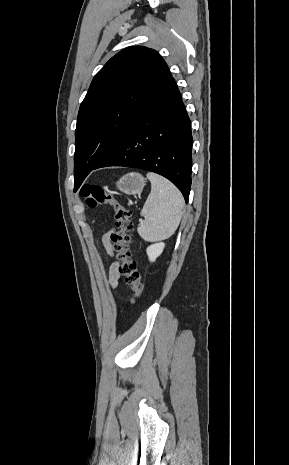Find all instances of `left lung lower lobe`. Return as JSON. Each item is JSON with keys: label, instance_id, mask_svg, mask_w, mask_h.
Wrapping results in <instances>:
<instances>
[{"label": "left lung lower lobe", "instance_id": "1", "mask_svg": "<svg viewBox=\"0 0 289 465\" xmlns=\"http://www.w3.org/2000/svg\"><path fill=\"white\" fill-rule=\"evenodd\" d=\"M191 150L190 120L171 77L149 97L132 124L92 170L126 166L158 173L178 187L187 203Z\"/></svg>", "mask_w": 289, "mask_h": 465}]
</instances>
